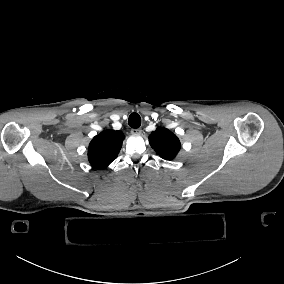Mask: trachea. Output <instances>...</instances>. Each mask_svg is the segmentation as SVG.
Here are the masks:
<instances>
[{"label":"trachea","instance_id":"obj_1","mask_svg":"<svg viewBox=\"0 0 284 284\" xmlns=\"http://www.w3.org/2000/svg\"><path fill=\"white\" fill-rule=\"evenodd\" d=\"M128 124L132 128H139L141 126V117L137 113H132L129 116Z\"/></svg>","mask_w":284,"mask_h":284}]
</instances>
